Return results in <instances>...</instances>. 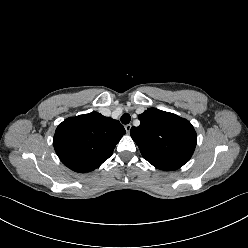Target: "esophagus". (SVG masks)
Listing matches in <instances>:
<instances>
[{
    "mask_svg": "<svg viewBox=\"0 0 248 248\" xmlns=\"http://www.w3.org/2000/svg\"><path fill=\"white\" fill-rule=\"evenodd\" d=\"M124 127H125L126 132L129 133L130 130H131V125L130 124H127Z\"/></svg>",
    "mask_w": 248,
    "mask_h": 248,
    "instance_id": "34e87169",
    "label": "esophagus"
}]
</instances>
